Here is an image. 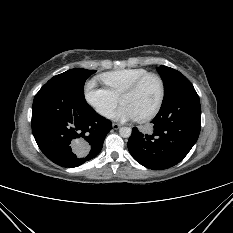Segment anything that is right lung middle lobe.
I'll return each instance as SVG.
<instances>
[{
  "label": "right lung middle lobe",
  "instance_id": "right-lung-middle-lobe-1",
  "mask_svg": "<svg viewBox=\"0 0 233 233\" xmlns=\"http://www.w3.org/2000/svg\"><path fill=\"white\" fill-rule=\"evenodd\" d=\"M95 72V70H87L81 68L70 69L64 73L54 76L47 82V84H56L84 96L85 81Z\"/></svg>",
  "mask_w": 233,
  "mask_h": 233
}]
</instances>
